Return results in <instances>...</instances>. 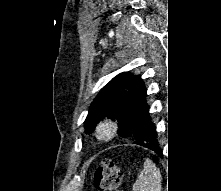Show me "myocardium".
Wrapping results in <instances>:
<instances>
[{
  "instance_id": "1",
  "label": "myocardium",
  "mask_w": 221,
  "mask_h": 191,
  "mask_svg": "<svg viewBox=\"0 0 221 191\" xmlns=\"http://www.w3.org/2000/svg\"><path fill=\"white\" fill-rule=\"evenodd\" d=\"M117 124L110 119L101 121L95 130L96 139L101 142H107L114 138L117 134Z\"/></svg>"
}]
</instances>
